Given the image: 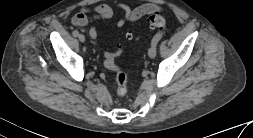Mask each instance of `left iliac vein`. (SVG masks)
Listing matches in <instances>:
<instances>
[{
    "instance_id": "obj_1",
    "label": "left iliac vein",
    "mask_w": 253,
    "mask_h": 138,
    "mask_svg": "<svg viewBox=\"0 0 253 138\" xmlns=\"http://www.w3.org/2000/svg\"><path fill=\"white\" fill-rule=\"evenodd\" d=\"M156 54H157V46L156 44H151L148 50V55L150 58H155Z\"/></svg>"
}]
</instances>
